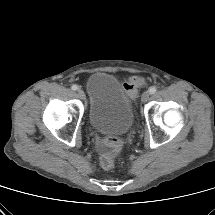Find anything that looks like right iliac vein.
Returning <instances> with one entry per match:
<instances>
[{
    "label": "right iliac vein",
    "instance_id": "right-iliac-vein-1",
    "mask_svg": "<svg viewBox=\"0 0 215 215\" xmlns=\"http://www.w3.org/2000/svg\"><path fill=\"white\" fill-rule=\"evenodd\" d=\"M78 96H79V98L82 99V100L85 99V94H84V92H83L81 89L78 90Z\"/></svg>",
    "mask_w": 215,
    "mask_h": 215
}]
</instances>
